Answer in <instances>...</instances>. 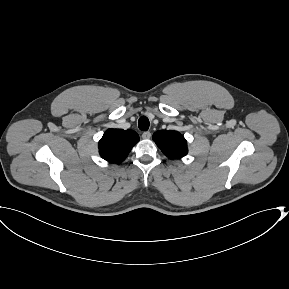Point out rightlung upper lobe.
I'll return each mask as SVG.
<instances>
[{
	"label": "right lung upper lobe",
	"mask_w": 289,
	"mask_h": 289,
	"mask_svg": "<svg viewBox=\"0 0 289 289\" xmlns=\"http://www.w3.org/2000/svg\"><path fill=\"white\" fill-rule=\"evenodd\" d=\"M138 141L135 131L108 129L99 141V153L103 159L118 164L125 160Z\"/></svg>",
	"instance_id": "obj_1"
}]
</instances>
